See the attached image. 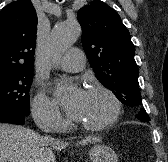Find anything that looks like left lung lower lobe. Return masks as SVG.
Returning <instances> with one entry per match:
<instances>
[{
	"instance_id": "obj_1",
	"label": "left lung lower lobe",
	"mask_w": 168,
	"mask_h": 162,
	"mask_svg": "<svg viewBox=\"0 0 168 162\" xmlns=\"http://www.w3.org/2000/svg\"><path fill=\"white\" fill-rule=\"evenodd\" d=\"M137 117V116H136ZM138 118V117H137ZM140 121H142V122H146V123H149L150 122V118L148 119V118H146V117H144V118H138Z\"/></svg>"
}]
</instances>
